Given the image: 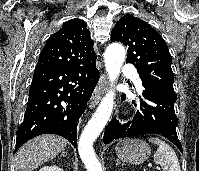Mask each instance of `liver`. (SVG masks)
Segmentation results:
<instances>
[{"label":"liver","instance_id":"obj_1","mask_svg":"<svg viewBox=\"0 0 199 171\" xmlns=\"http://www.w3.org/2000/svg\"><path fill=\"white\" fill-rule=\"evenodd\" d=\"M67 140L53 134L37 136L26 142L16 153L15 171H32L56 157L66 147Z\"/></svg>","mask_w":199,"mask_h":171}]
</instances>
